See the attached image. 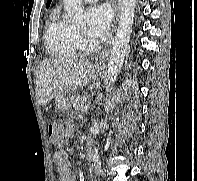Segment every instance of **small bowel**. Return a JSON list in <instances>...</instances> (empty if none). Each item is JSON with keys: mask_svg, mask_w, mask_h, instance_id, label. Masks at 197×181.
I'll use <instances>...</instances> for the list:
<instances>
[{"mask_svg": "<svg viewBox=\"0 0 197 181\" xmlns=\"http://www.w3.org/2000/svg\"><path fill=\"white\" fill-rule=\"evenodd\" d=\"M53 161L59 173V181H75V174L71 169L70 161L65 150L59 149L55 151Z\"/></svg>", "mask_w": 197, "mask_h": 181, "instance_id": "c3829d8e", "label": "small bowel"}]
</instances>
